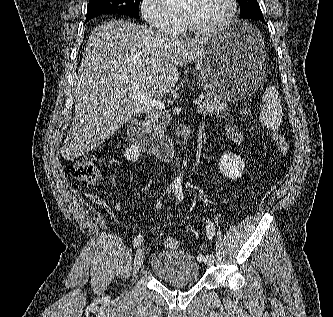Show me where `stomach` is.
I'll return each mask as SVG.
<instances>
[{
  "mask_svg": "<svg viewBox=\"0 0 333 317\" xmlns=\"http://www.w3.org/2000/svg\"><path fill=\"white\" fill-rule=\"evenodd\" d=\"M265 44L253 24L233 23L208 37L197 63V79L218 100L262 95Z\"/></svg>",
  "mask_w": 333,
  "mask_h": 317,
  "instance_id": "0dacf381",
  "label": "stomach"
}]
</instances>
